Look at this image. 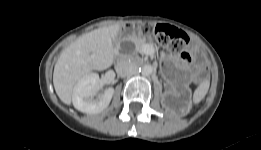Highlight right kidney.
<instances>
[{"mask_svg": "<svg viewBox=\"0 0 261 150\" xmlns=\"http://www.w3.org/2000/svg\"><path fill=\"white\" fill-rule=\"evenodd\" d=\"M100 89V78L92 73L81 78L73 88L72 102L74 107L87 114H95L108 107L113 93V88H108L98 98H94Z\"/></svg>", "mask_w": 261, "mask_h": 150, "instance_id": "right-kidney-1", "label": "right kidney"}]
</instances>
